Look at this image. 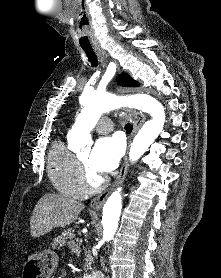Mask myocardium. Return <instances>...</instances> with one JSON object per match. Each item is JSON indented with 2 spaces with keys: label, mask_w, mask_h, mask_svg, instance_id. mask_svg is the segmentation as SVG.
I'll list each match as a JSON object with an SVG mask.
<instances>
[{
  "label": "myocardium",
  "mask_w": 221,
  "mask_h": 278,
  "mask_svg": "<svg viewBox=\"0 0 221 278\" xmlns=\"http://www.w3.org/2000/svg\"><path fill=\"white\" fill-rule=\"evenodd\" d=\"M80 175L86 191L98 192L105 188L107 180L104 177L95 178L88 166L78 158Z\"/></svg>",
  "instance_id": "f54148a6"
}]
</instances>
